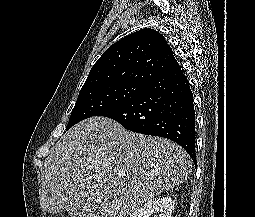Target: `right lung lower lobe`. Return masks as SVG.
<instances>
[{"instance_id":"98d812e1","label":"right lung lower lobe","mask_w":255,"mask_h":217,"mask_svg":"<svg viewBox=\"0 0 255 217\" xmlns=\"http://www.w3.org/2000/svg\"><path fill=\"white\" fill-rule=\"evenodd\" d=\"M98 116L111 118L130 131L168 138L196 163L193 94L181 69L159 77L130 102Z\"/></svg>"}]
</instances>
